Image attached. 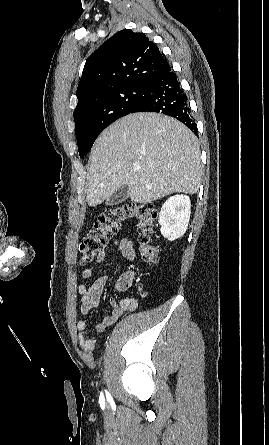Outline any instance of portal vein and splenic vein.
<instances>
[{"label":"portal vein and splenic vein","mask_w":269,"mask_h":445,"mask_svg":"<svg viewBox=\"0 0 269 445\" xmlns=\"http://www.w3.org/2000/svg\"><path fill=\"white\" fill-rule=\"evenodd\" d=\"M135 170L138 171V170H139V167H135Z\"/></svg>","instance_id":"1"}]
</instances>
